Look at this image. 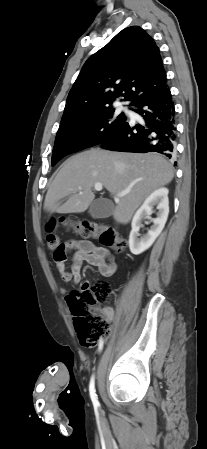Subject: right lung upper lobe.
Here are the masks:
<instances>
[{
  "instance_id": "obj_1",
  "label": "right lung upper lobe",
  "mask_w": 207,
  "mask_h": 449,
  "mask_svg": "<svg viewBox=\"0 0 207 449\" xmlns=\"http://www.w3.org/2000/svg\"><path fill=\"white\" fill-rule=\"evenodd\" d=\"M167 89L153 38L140 27L125 28L85 62L67 97L62 120L109 108L120 96L134 105Z\"/></svg>"
}]
</instances>
